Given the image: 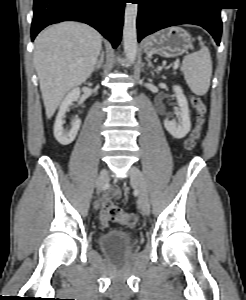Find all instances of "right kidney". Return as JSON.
I'll list each match as a JSON object with an SVG mask.
<instances>
[{"label": "right kidney", "mask_w": 246, "mask_h": 300, "mask_svg": "<svg viewBox=\"0 0 246 300\" xmlns=\"http://www.w3.org/2000/svg\"><path fill=\"white\" fill-rule=\"evenodd\" d=\"M80 96V89L74 88L72 89L62 101L59 112L57 114L55 124H54V137L61 145H69L72 143L78 133V130L81 125V120L77 119L73 122L70 131H64L63 124H64V116L68 109V106L75 100H77Z\"/></svg>", "instance_id": "1"}]
</instances>
